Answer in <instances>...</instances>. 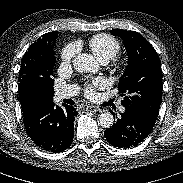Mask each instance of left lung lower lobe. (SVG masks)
Wrapping results in <instances>:
<instances>
[{
	"label": "left lung lower lobe",
	"mask_w": 183,
	"mask_h": 183,
	"mask_svg": "<svg viewBox=\"0 0 183 183\" xmlns=\"http://www.w3.org/2000/svg\"><path fill=\"white\" fill-rule=\"evenodd\" d=\"M155 121V118L138 109L126 107L121 118L104 132L105 138L115 147L136 146L149 135Z\"/></svg>",
	"instance_id": "0a47b994"
}]
</instances>
